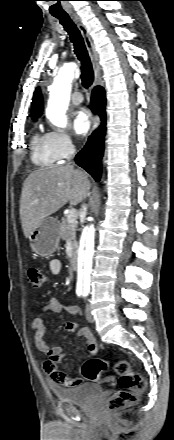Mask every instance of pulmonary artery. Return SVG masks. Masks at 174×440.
<instances>
[{"instance_id":"obj_1","label":"pulmonary artery","mask_w":174,"mask_h":440,"mask_svg":"<svg viewBox=\"0 0 174 440\" xmlns=\"http://www.w3.org/2000/svg\"><path fill=\"white\" fill-rule=\"evenodd\" d=\"M70 100L73 104L78 105L82 103L83 95L80 92L76 91L70 96Z\"/></svg>"}]
</instances>
